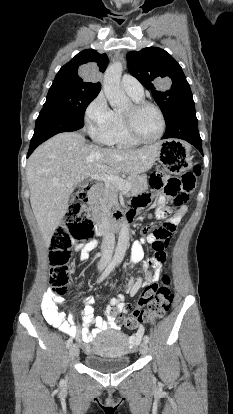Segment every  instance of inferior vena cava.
Wrapping results in <instances>:
<instances>
[{
	"instance_id": "602c4592",
	"label": "inferior vena cava",
	"mask_w": 233,
	"mask_h": 414,
	"mask_svg": "<svg viewBox=\"0 0 233 414\" xmlns=\"http://www.w3.org/2000/svg\"><path fill=\"white\" fill-rule=\"evenodd\" d=\"M107 216L104 213H101V223L102 225H107ZM116 234L113 232L112 229L107 230L103 233V242L100 245L101 250V260L100 263L108 264L111 261L112 253L114 252V241H115Z\"/></svg>"
}]
</instances>
